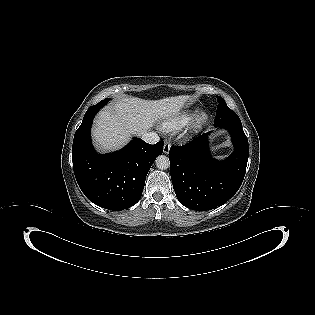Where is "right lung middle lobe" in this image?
I'll list each match as a JSON object with an SVG mask.
<instances>
[{
  "instance_id": "right-lung-middle-lobe-1",
  "label": "right lung middle lobe",
  "mask_w": 315,
  "mask_h": 315,
  "mask_svg": "<svg viewBox=\"0 0 315 315\" xmlns=\"http://www.w3.org/2000/svg\"><path fill=\"white\" fill-rule=\"evenodd\" d=\"M108 100H109V99H108V98H106L105 100H102V101H106V102H107Z\"/></svg>"
}]
</instances>
